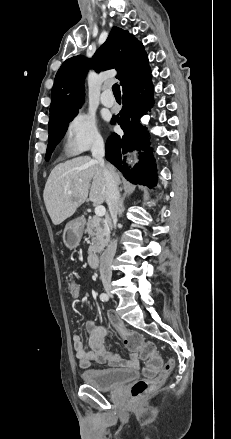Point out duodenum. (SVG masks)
<instances>
[{"mask_svg": "<svg viewBox=\"0 0 231 439\" xmlns=\"http://www.w3.org/2000/svg\"><path fill=\"white\" fill-rule=\"evenodd\" d=\"M87 261L90 267L97 268L99 266V256L98 253L95 250H91L88 253Z\"/></svg>", "mask_w": 231, "mask_h": 439, "instance_id": "obj_1", "label": "duodenum"}]
</instances>
